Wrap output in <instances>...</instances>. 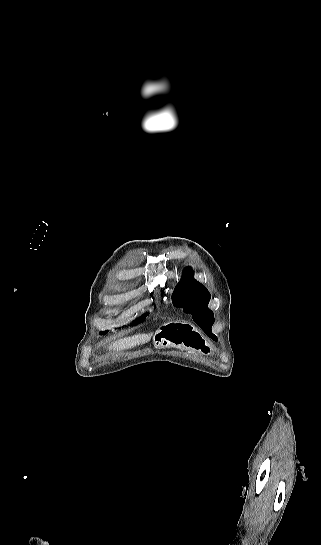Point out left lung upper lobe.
Wrapping results in <instances>:
<instances>
[{"label":"left lung upper lobe","mask_w":321,"mask_h":545,"mask_svg":"<svg viewBox=\"0 0 321 545\" xmlns=\"http://www.w3.org/2000/svg\"><path fill=\"white\" fill-rule=\"evenodd\" d=\"M172 300L175 306L183 307L186 312L193 314V320L207 335L212 334L214 315L208 308L210 293L202 284L194 280L193 271L190 268L185 271L176 286Z\"/></svg>","instance_id":"5c2ea615"}]
</instances>
